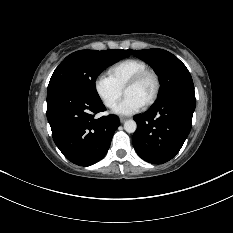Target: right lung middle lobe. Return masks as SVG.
<instances>
[{"mask_svg": "<svg viewBox=\"0 0 233 233\" xmlns=\"http://www.w3.org/2000/svg\"><path fill=\"white\" fill-rule=\"evenodd\" d=\"M128 56V50H80L67 56L54 71L47 93L71 91L100 100L95 81L108 66Z\"/></svg>", "mask_w": 233, "mask_h": 233, "instance_id": "right-lung-middle-lobe-1", "label": "right lung middle lobe"}]
</instances>
